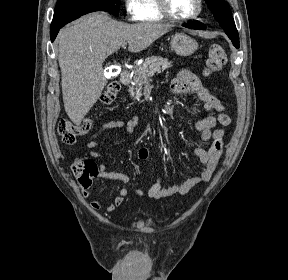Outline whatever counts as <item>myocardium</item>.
<instances>
[{"instance_id": "1", "label": "myocardium", "mask_w": 288, "mask_h": 280, "mask_svg": "<svg viewBox=\"0 0 288 280\" xmlns=\"http://www.w3.org/2000/svg\"><path fill=\"white\" fill-rule=\"evenodd\" d=\"M157 4L162 16L173 22H188L194 20L201 14L203 9V0H197L196 10L191 15L186 17H177L171 12L168 0H157Z\"/></svg>"}]
</instances>
